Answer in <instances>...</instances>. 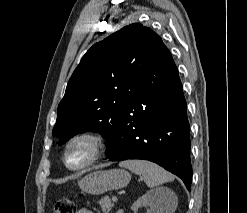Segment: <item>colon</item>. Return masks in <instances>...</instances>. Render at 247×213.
Instances as JSON below:
<instances>
[{
    "label": "colon",
    "mask_w": 247,
    "mask_h": 213,
    "mask_svg": "<svg viewBox=\"0 0 247 213\" xmlns=\"http://www.w3.org/2000/svg\"><path fill=\"white\" fill-rule=\"evenodd\" d=\"M54 213H75V205L68 198L59 199L55 204Z\"/></svg>",
    "instance_id": "obj_1"
}]
</instances>
